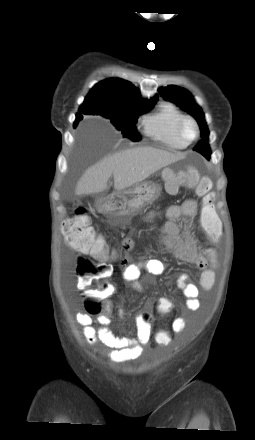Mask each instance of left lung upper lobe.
<instances>
[{
    "mask_svg": "<svg viewBox=\"0 0 255 440\" xmlns=\"http://www.w3.org/2000/svg\"><path fill=\"white\" fill-rule=\"evenodd\" d=\"M160 95L173 103H176L183 110L191 114L198 122L201 129V137L203 138L194 147V150L201 153L208 160L210 159L211 151L208 144L209 131L204 120V114L201 108L195 103L191 94L184 88L175 85L167 86L159 89Z\"/></svg>",
    "mask_w": 255,
    "mask_h": 440,
    "instance_id": "5c2ea615",
    "label": "left lung upper lobe"
}]
</instances>
